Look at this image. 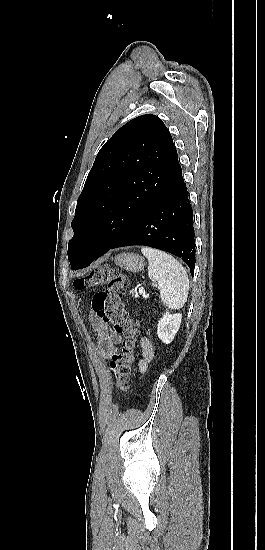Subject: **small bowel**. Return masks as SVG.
<instances>
[{
	"mask_svg": "<svg viewBox=\"0 0 265 550\" xmlns=\"http://www.w3.org/2000/svg\"><path fill=\"white\" fill-rule=\"evenodd\" d=\"M91 324L97 336V345L100 355L104 359L110 360L113 354L118 351V344L121 342V336L113 332L109 325L96 314L91 315ZM141 347L142 359L140 368L144 370L147 364L153 359L154 351L148 339L142 340Z\"/></svg>",
	"mask_w": 265,
	"mask_h": 550,
	"instance_id": "obj_1",
	"label": "small bowel"
}]
</instances>
